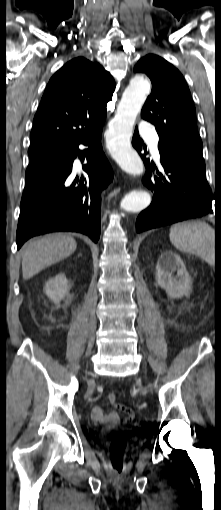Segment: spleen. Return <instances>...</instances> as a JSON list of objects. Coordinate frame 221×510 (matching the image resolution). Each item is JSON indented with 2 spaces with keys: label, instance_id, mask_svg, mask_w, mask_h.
<instances>
[{
  "label": "spleen",
  "instance_id": "obj_1",
  "mask_svg": "<svg viewBox=\"0 0 221 510\" xmlns=\"http://www.w3.org/2000/svg\"><path fill=\"white\" fill-rule=\"evenodd\" d=\"M170 241L182 252L198 255L208 263L214 258V230L202 221H186L172 225Z\"/></svg>",
  "mask_w": 221,
  "mask_h": 510
}]
</instances>
